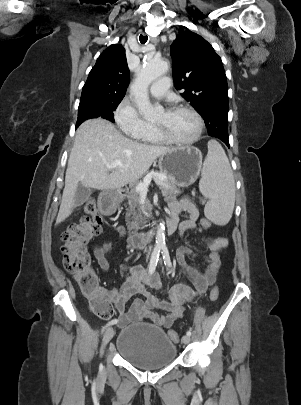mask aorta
Masks as SVG:
<instances>
[{"label":"aorta","instance_id":"762f6f07","mask_svg":"<svg viewBox=\"0 0 301 405\" xmlns=\"http://www.w3.org/2000/svg\"><path fill=\"white\" fill-rule=\"evenodd\" d=\"M168 70V63L163 60L147 59L143 67L131 86V93L134 96L136 106L140 113L148 115L153 112V107L149 100L148 87L158 77ZM165 247V226L163 223L157 227L156 248Z\"/></svg>","mask_w":301,"mask_h":405}]
</instances>
